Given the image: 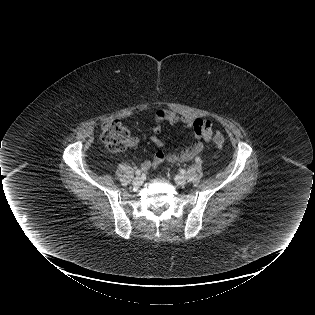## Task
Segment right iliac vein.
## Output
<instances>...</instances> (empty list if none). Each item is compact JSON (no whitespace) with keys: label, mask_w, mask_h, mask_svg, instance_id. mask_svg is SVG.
Listing matches in <instances>:
<instances>
[{"label":"right iliac vein","mask_w":315,"mask_h":315,"mask_svg":"<svg viewBox=\"0 0 315 315\" xmlns=\"http://www.w3.org/2000/svg\"><path fill=\"white\" fill-rule=\"evenodd\" d=\"M143 184V179L141 177H136L133 180L134 186H141Z\"/></svg>","instance_id":"63e3f726"}]
</instances>
